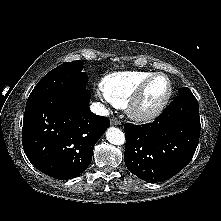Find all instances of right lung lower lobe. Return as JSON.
<instances>
[{"mask_svg": "<svg viewBox=\"0 0 221 221\" xmlns=\"http://www.w3.org/2000/svg\"><path fill=\"white\" fill-rule=\"evenodd\" d=\"M90 92L50 98L26 105L22 145L40 171L67 180L78 176L92 161L95 143L110 126L107 117L93 114Z\"/></svg>", "mask_w": 221, "mask_h": 221, "instance_id": "1", "label": "right lung lower lobe"}]
</instances>
